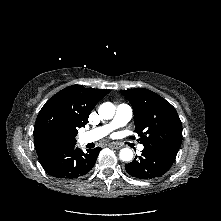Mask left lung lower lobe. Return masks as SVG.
I'll return each mask as SVG.
<instances>
[{
    "instance_id": "obj_1",
    "label": "left lung lower lobe",
    "mask_w": 221,
    "mask_h": 221,
    "mask_svg": "<svg viewBox=\"0 0 221 221\" xmlns=\"http://www.w3.org/2000/svg\"><path fill=\"white\" fill-rule=\"evenodd\" d=\"M178 149L165 145H144L141 156L125 165V169L138 179H153L165 174L172 166Z\"/></svg>"
}]
</instances>
